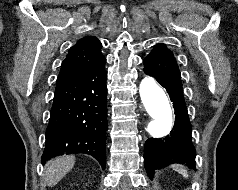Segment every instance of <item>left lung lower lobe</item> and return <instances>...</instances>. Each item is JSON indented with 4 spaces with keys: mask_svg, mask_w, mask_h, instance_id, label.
I'll list each match as a JSON object with an SVG mask.
<instances>
[{
    "mask_svg": "<svg viewBox=\"0 0 238 190\" xmlns=\"http://www.w3.org/2000/svg\"><path fill=\"white\" fill-rule=\"evenodd\" d=\"M144 72L154 77L169 93L175 123L164 138H149L144 147V165L152 177L154 170L172 163H185L195 169L196 151L192 126L183 95L180 71L174 55L151 51L143 60Z\"/></svg>",
    "mask_w": 238,
    "mask_h": 190,
    "instance_id": "left-lung-lower-lobe-1",
    "label": "left lung lower lobe"
}]
</instances>
